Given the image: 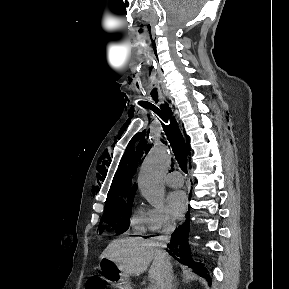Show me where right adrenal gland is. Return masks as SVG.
Segmentation results:
<instances>
[{"mask_svg": "<svg viewBox=\"0 0 289 289\" xmlns=\"http://www.w3.org/2000/svg\"><path fill=\"white\" fill-rule=\"evenodd\" d=\"M176 285H177V284H176V282H175V283L173 284V289H177V288H176Z\"/></svg>", "mask_w": 289, "mask_h": 289, "instance_id": "obj_1", "label": "right adrenal gland"}]
</instances>
